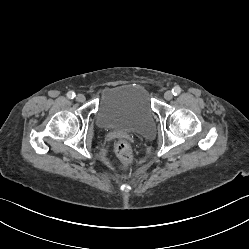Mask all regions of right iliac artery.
<instances>
[{
	"instance_id": "82829eb1",
	"label": "right iliac artery",
	"mask_w": 249,
	"mask_h": 249,
	"mask_svg": "<svg viewBox=\"0 0 249 249\" xmlns=\"http://www.w3.org/2000/svg\"><path fill=\"white\" fill-rule=\"evenodd\" d=\"M75 96H76L75 93L72 92V91H69V92L67 93V97L70 98V99H73Z\"/></svg>"
}]
</instances>
